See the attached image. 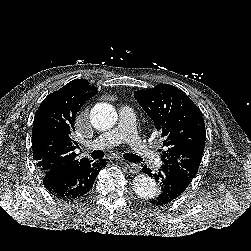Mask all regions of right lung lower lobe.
I'll return each instance as SVG.
<instances>
[{
  "label": "right lung lower lobe",
  "mask_w": 251,
  "mask_h": 251,
  "mask_svg": "<svg viewBox=\"0 0 251 251\" xmlns=\"http://www.w3.org/2000/svg\"><path fill=\"white\" fill-rule=\"evenodd\" d=\"M106 165L105 160L88 162L68 167L44 177V184L54 195L65 198L83 196L93 186L100 169Z\"/></svg>",
  "instance_id": "98d812e1"
}]
</instances>
